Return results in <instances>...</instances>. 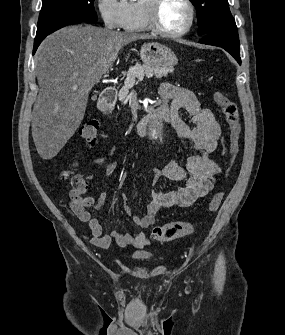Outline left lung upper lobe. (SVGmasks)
Returning a JSON list of instances; mask_svg holds the SVG:
<instances>
[{"instance_id": "obj_1", "label": "left lung upper lobe", "mask_w": 285, "mask_h": 335, "mask_svg": "<svg viewBox=\"0 0 285 335\" xmlns=\"http://www.w3.org/2000/svg\"><path fill=\"white\" fill-rule=\"evenodd\" d=\"M197 7L199 29L210 31L235 27L228 0H190Z\"/></svg>"}]
</instances>
